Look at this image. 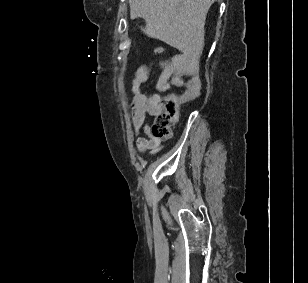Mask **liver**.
Returning a JSON list of instances; mask_svg holds the SVG:
<instances>
[{
  "instance_id": "liver-1",
  "label": "liver",
  "mask_w": 308,
  "mask_h": 283,
  "mask_svg": "<svg viewBox=\"0 0 308 283\" xmlns=\"http://www.w3.org/2000/svg\"><path fill=\"white\" fill-rule=\"evenodd\" d=\"M215 0H129L130 18H143L142 31L197 58L204 45V25Z\"/></svg>"
}]
</instances>
